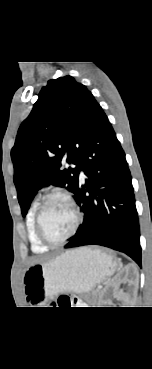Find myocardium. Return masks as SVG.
<instances>
[{
    "mask_svg": "<svg viewBox=\"0 0 152 369\" xmlns=\"http://www.w3.org/2000/svg\"><path fill=\"white\" fill-rule=\"evenodd\" d=\"M55 198H60L65 200L72 208L74 215H75V223L74 226L71 230V232L66 235L65 237H63L62 239L59 240H51L50 238H48L43 230L42 227V216L44 213V210L47 206V204ZM83 220V216L82 213L80 211L79 206L77 205V203L75 202V200L73 199V197L64 191H54L51 192L49 194H47L42 201L39 203V206L37 208L36 211V215H35V230H36V234L38 239L41 241V243H43L46 246H50V247H55V246H59L62 245L63 243H65L66 241H68L70 238H72L78 231L81 223Z\"/></svg>",
    "mask_w": 152,
    "mask_h": 369,
    "instance_id": "myocardium-1",
    "label": "myocardium"
}]
</instances>
